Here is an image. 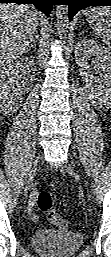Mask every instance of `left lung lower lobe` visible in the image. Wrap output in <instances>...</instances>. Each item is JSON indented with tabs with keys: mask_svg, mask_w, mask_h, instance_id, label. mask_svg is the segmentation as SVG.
Segmentation results:
<instances>
[{
	"mask_svg": "<svg viewBox=\"0 0 111 257\" xmlns=\"http://www.w3.org/2000/svg\"><path fill=\"white\" fill-rule=\"evenodd\" d=\"M68 2L70 21L79 10L88 6H111V0H68Z\"/></svg>",
	"mask_w": 111,
	"mask_h": 257,
	"instance_id": "obj_1",
	"label": "left lung lower lobe"
}]
</instances>
